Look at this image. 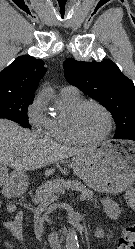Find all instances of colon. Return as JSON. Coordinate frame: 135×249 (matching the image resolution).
I'll return each instance as SVG.
<instances>
[{
  "instance_id": "obj_1",
  "label": "colon",
  "mask_w": 135,
  "mask_h": 249,
  "mask_svg": "<svg viewBox=\"0 0 135 249\" xmlns=\"http://www.w3.org/2000/svg\"><path fill=\"white\" fill-rule=\"evenodd\" d=\"M126 202L135 211V188L126 192ZM117 249H135V224L124 228L118 240Z\"/></svg>"
}]
</instances>
